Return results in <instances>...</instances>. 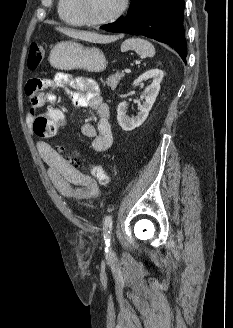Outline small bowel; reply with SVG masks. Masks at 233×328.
<instances>
[{
	"instance_id": "obj_1",
	"label": "small bowel",
	"mask_w": 233,
	"mask_h": 328,
	"mask_svg": "<svg viewBox=\"0 0 233 328\" xmlns=\"http://www.w3.org/2000/svg\"><path fill=\"white\" fill-rule=\"evenodd\" d=\"M48 90H63L77 107H90L98 116L97 125L84 123L81 132L92 140L91 146L97 152L110 149L114 136L110 121V109L104 102L101 88L91 78H74L67 73H57L53 79H31L26 85L30 100L26 120L32 122L38 111L50 105L56 98ZM38 152L47 167V174L55 188L65 197L90 199L99 194L95 179L81 173L64 156L46 142L37 143Z\"/></svg>"
}]
</instances>
